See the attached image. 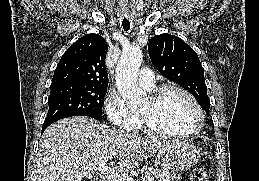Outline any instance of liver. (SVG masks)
Wrapping results in <instances>:
<instances>
[{
	"instance_id": "6515ba94",
	"label": "liver",
	"mask_w": 259,
	"mask_h": 181,
	"mask_svg": "<svg viewBox=\"0 0 259 181\" xmlns=\"http://www.w3.org/2000/svg\"><path fill=\"white\" fill-rule=\"evenodd\" d=\"M170 142L142 138L111 128L92 118L77 116L59 120L43 133L37 153L38 181H85L106 157L112 170L124 174Z\"/></svg>"
}]
</instances>
